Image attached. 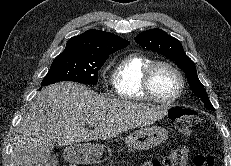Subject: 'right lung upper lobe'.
<instances>
[{"label":"right lung upper lobe","mask_w":231,"mask_h":166,"mask_svg":"<svg viewBox=\"0 0 231 166\" xmlns=\"http://www.w3.org/2000/svg\"><path fill=\"white\" fill-rule=\"evenodd\" d=\"M130 42L121 37L91 29L68 40L63 52H74L89 56H106L129 45Z\"/></svg>","instance_id":"1"}]
</instances>
